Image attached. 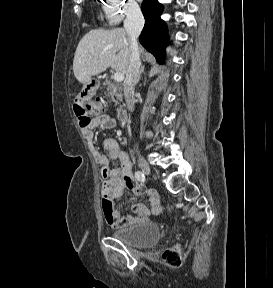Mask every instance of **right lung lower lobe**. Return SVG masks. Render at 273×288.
Wrapping results in <instances>:
<instances>
[{
	"label": "right lung lower lobe",
	"instance_id": "right-lung-lower-lobe-1",
	"mask_svg": "<svg viewBox=\"0 0 273 288\" xmlns=\"http://www.w3.org/2000/svg\"><path fill=\"white\" fill-rule=\"evenodd\" d=\"M141 10L145 26L139 37L140 43L155 56L158 63H162L167 45V27L160 18L163 6L157 0H144Z\"/></svg>",
	"mask_w": 273,
	"mask_h": 288
}]
</instances>
